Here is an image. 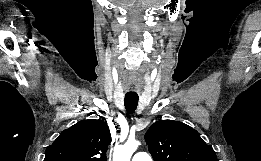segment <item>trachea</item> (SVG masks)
Instances as JSON below:
<instances>
[{"mask_svg":"<svg viewBox=\"0 0 261 161\" xmlns=\"http://www.w3.org/2000/svg\"><path fill=\"white\" fill-rule=\"evenodd\" d=\"M139 97L135 95L125 96V108L129 114H133L137 108Z\"/></svg>","mask_w":261,"mask_h":161,"instance_id":"1","label":"trachea"}]
</instances>
